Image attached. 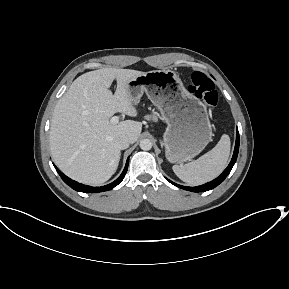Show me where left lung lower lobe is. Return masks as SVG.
Here are the masks:
<instances>
[{
  "label": "left lung lower lobe",
  "mask_w": 289,
  "mask_h": 289,
  "mask_svg": "<svg viewBox=\"0 0 289 289\" xmlns=\"http://www.w3.org/2000/svg\"><path fill=\"white\" fill-rule=\"evenodd\" d=\"M238 151H239V132L237 130V133H236V144H235V149H234V153H233V157L231 159V162L229 163L228 167L223 171V173L217 177L216 179H214L213 181L211 182H208L204 185H201V186H197V187H187V186H181V185H178L170 180H168L170 183H172L173 185L179 187V188H182V189H185V190H188V191H192V192H205V191H208V190H211L213 188H215L216 186H218L220 183H222L224 181V179L227 177V175L230 173L231 169L233 168L235 162H236V159H237V156H238Z\"/></svg>",
  "instance_id": "1"
}]
</instances>
